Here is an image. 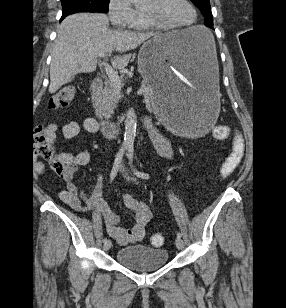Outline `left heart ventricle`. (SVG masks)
I'll return each instance as SVG.
<instances>
[{"mask_svg":"<svg viewBox=\"0 0 286 308\" xmlns=\"http://www.w3.org/2000/svg\"><path fill=\"white\" fill-rule=\"evenodd\" d=\"M144 12L154 14L172 24H188L193 21L194 13L185 0H151Z\"/></svg>","mask_w":286,"mask_h":308,"instance_id":"b2bd125f","label":"left heart ventricle"}]
</instances>
